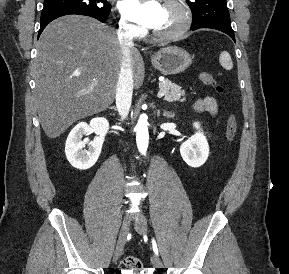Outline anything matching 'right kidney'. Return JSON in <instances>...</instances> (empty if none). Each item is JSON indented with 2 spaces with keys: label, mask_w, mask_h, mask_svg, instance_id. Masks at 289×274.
I'll return each mask as SVG.
<instances>
[{
  "label": "right kidney",
  "mask_w": 289,
  "mask_h": 274,
  "mask_svg": "<svg viewBox=\"0 0 289 274\" xmlns=\"http://www.w3.org/2000/svg\"><path fill=\"white\" fill-rule=\"evenodd\" d=\"M108 129L109 122L104 117L93 118L89 124L78 123L69 133L65 144V154L70 164L80 170L91 168L100 156ZM89 132H95L97 136L91 142L82 141ZM86 145L88 150L85 149Z\"/></svg>",
  "instance_id": "1"
}]
</instances>
